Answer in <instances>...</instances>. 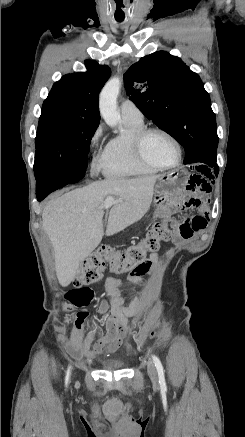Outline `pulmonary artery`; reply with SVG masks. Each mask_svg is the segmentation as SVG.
I'll use <instances>...</instances> for the list:
<instances>
[{
    "instance_id": "pulmonary-artery-1",
    "label": "pulmonary artery",
    "mask_w": 245,
    "mask_h": 437,
    "mask_svg": "<svg viewBox=\"0 0 245 437\" xmlns=\"http://www.w3.org/2000/svg\"><path fill=\"white\" fill-rule=\"evenodd\" d=\"M121 116L125 119H130L134 121H142L143 114L138 109V107L131 101L125 100L121 104Z\"/></svg>"
}]
</instances>
